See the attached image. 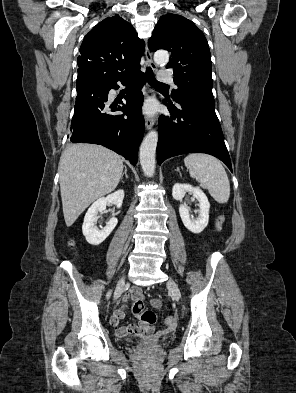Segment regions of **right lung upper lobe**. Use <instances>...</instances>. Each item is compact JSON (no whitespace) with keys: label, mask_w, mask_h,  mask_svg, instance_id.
I'll list each match as a JSON object with an SVG mask.
<instances>
[{"label":"right lung upper lobe","mask_w":296,"mask_h":393,"mask_svg":"<svg viewBox=\"0 0 296 393\" xmlns=\"http://www.w3.org/2000/svg\"><path fill=\"white\" fill-rule=\"evenodd\" d=\"M144 46L130 23L119 15L108 17L85 36L78 70L88 69L108 80L126 77L140 70Z\"/></svg>","instance_id":"cb5924a9"}]
</instances>
